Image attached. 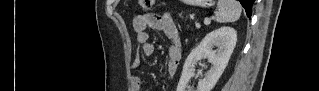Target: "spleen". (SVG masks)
Instances as JSON below:
<instances>
[{
  "label": "spleen",
  "instance_id": "1",
  "mask_svg": "<svg viewBox=\"0 0 319 91\" xmlns=\"http://www.w3.org/2000/svg\"><path fill=\"white\" fill-rule=\"evenodd\" d=\"M241 5L236 0H219L215 20L219 23L235 22L240 18Z\"/></svg>",
  "mask_w": 319,
  "mask_h": 91
}]
</instances>
